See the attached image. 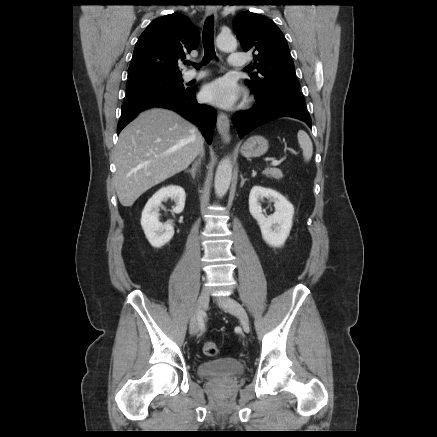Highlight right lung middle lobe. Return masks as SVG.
<instances>
[{
	"mask_svg": "<svg viewBox=\"0 0 437 437\" xmlns=\"http://www.w3.org/2000/svg\"><path fill=\"white\" fill-rule=\"evenodd\" d=\"M127 100L160 92L183 91L182 75H139L129 77Z\"/></svg>",
	"mask_w": 437,
	"mask_h": 437,
	"instance_id": "dd1d6c3e",
	"label": "right lung middle lobe"
}]
</instances>
